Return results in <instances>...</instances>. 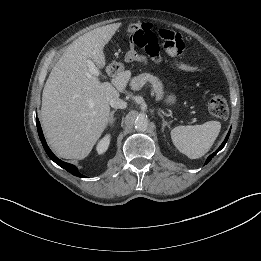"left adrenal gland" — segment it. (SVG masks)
Segmentation results:
<instances>
[{
  "instance_id": "1",
  "label": "left adrenal gland",
  "mask_w": 261,
  "mask_h": 261,
  "mask_svg": "<svg viewBox=\"0 0 261 261\" xmlns=\"http://www.w3.org/2000/svg\"><path fill=\"white\" fill-rule=\"evenodd\" d=\"M159 116L162 118V132H164L165 127H170V122H167L164 118V116L161 113H158Z\"/></svg>"
}]
</instances>
